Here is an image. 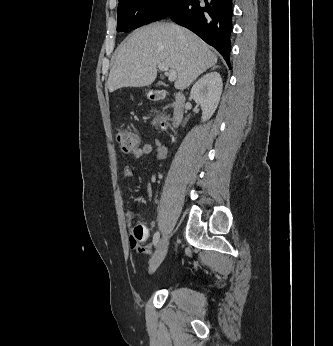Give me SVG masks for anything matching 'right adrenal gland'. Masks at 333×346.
Listing matches in <instances>:
<instances>
[{
  "label": "right adrenal gland",
  "mask_w": 333,
  "mask_h": 346,
  "mask_svg": "<svg viewBox=\"0 0 333 346\" xmlns=\"http://www.w3.org/2000/svg\"><path fill=\"white\" fill-rule=\"evenodd\" d=\"M217 68V66H214L212 69H216Z\"/></svg>",
  "instance_id": "2a0ac1e0"
}]
</instances>
